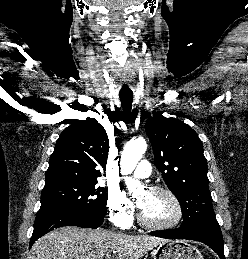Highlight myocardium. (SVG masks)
Returning a JSON list of instances; mask_svg holds the SVG:
<instances>
[{
	"label": "myocardium",
	"instance_id": "myocardium-1",
	"mask_svg": "<svg viewBox=\"0 0 248 259\" xmlns=\"http://www.w3.org/2000/svg\"><path fill=\"white\" fill-rule=\"evenodd\" d=\"M149 191L154 192V193L165 194L174 204L175 216L171 221H169L167 223L154 224V223H150L147 220H145L141 213V210H140L139 214H138L139 224L144 228H147L150 230H158V231L169 230V229L176 227L183 218V207H182V204H181L179 198L176 196V194L173 191H171L170 189L163 187V186H152V187H150Z\"/></svg>",
	"mask_w": 248,
	"mask_h": 259
}]
</instances>
